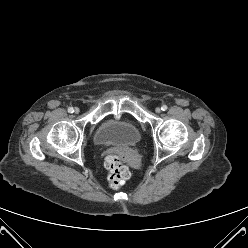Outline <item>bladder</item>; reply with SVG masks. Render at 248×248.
<instances>
[{"label":"bladder","instance_id":"1","mask_svg":"<svg viewBox=\"0 0 248 248\" xmlns=\"http://www.w3.org/2000/svg\"><path fill=\"white\" fill-rule=\"evenodd\" d=\"M141 139L136 125L123 119H110L102 123L94 133L97 145H134Z\"/></svg>","mask_w":248,"mask_h":248}]
</instances>
